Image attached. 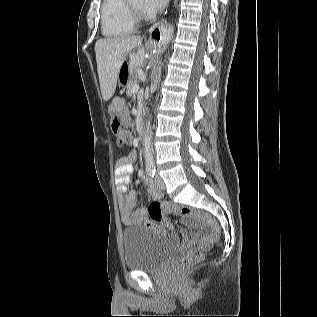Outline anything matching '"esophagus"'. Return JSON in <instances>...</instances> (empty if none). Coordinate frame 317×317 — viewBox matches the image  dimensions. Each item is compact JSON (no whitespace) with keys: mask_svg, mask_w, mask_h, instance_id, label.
<instances>
[{"mask_svg":"<svg viewBox=\"0 0 317 317\" xmlns=\"http://www.w3.org/2000/svg\"><path fill=\"white\" fill-rule=\"evenodd\" d=\"M165 30L164 22L154 25L150 30L149 39L154 43L159 44L160 42L164 41Z\"/></svg>","mask_w":317,"mask_h":317,"instance_id":"1","label":"esophagus"}]
</instances>
